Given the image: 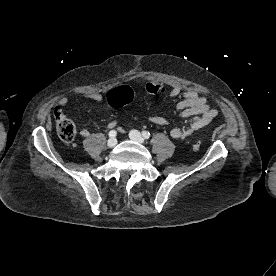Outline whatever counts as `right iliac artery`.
Segmentation results:
<instances>
[{
    "label": "right iliac artery",
    "instance_id": "1",
    "mask_svg": "<svg viewBox=\"0 0 276 276\" xmlns=\"http://www.w3.org/2000/svg\"><path fill=\"white\" fill-rule=\"evenodd\" d=\"M117 135V132L115 130H111L109 132V137H115Z\"/></svg>",
    "mask_w": 276,
    "mask_h": 276
}]
</instances>
